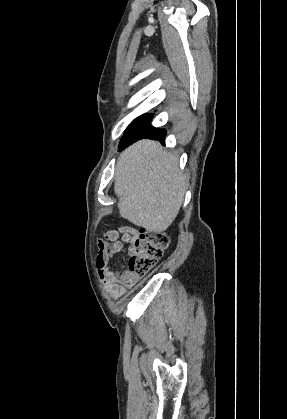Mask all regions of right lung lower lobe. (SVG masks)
Returning a JSON list of instances; mask_svg holds the SVG:
<instances>
[{
  "label": "right lung lower lobe",
  "instance_id": "98d812e1",
  "mask_svg": "<svg viewBox=\"0 0 287 419\" xmlns=\"http://www.w3.org/2000/svg\"><path fill=\"white\" fill-rule=\"evenodd\" d=\"M165 137H166V130L157 129V128L151 126L146 132H144L140 136L136 137L130 144H132L133 142H136L137 140L142 139V138L159 140L162 144H164ZM130 144H128L127 146H129Z\"/></svg>",
  "mask_w": 287,
  "mask_h": 419
}]
</instances>
